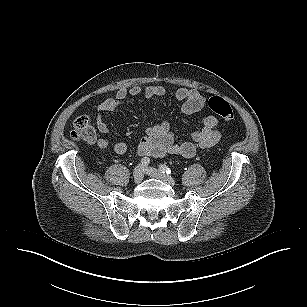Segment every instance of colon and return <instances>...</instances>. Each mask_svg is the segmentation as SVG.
Returning <instances> with one entry per match:
<instances>
[{
	"instance_id": "1",
	"label": "colon",
	"mask_w": 307,
	"mask_h": 307,
	"mask_svg": "<svg viewBox=\"0 0 307 307\" xmlns=\"http://www.w3.org/2000/svg\"><path fill=\"white\" fill-rule=\"evenodd\" d=\"M209 109L222 117L226 121L234 119V113L229 103L221 97H212L208 100ZM73 140L95 142L97 140L96 131L91 121L86 116H80L75 119L73 129L71 131Z\"/></svg>"
}]
</instances>
